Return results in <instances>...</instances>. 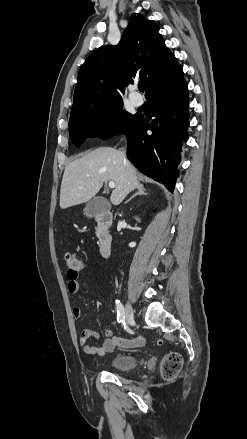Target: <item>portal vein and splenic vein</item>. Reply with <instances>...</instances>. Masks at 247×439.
<instances>
[{
  "label": "portal vein and splenic vein",
  "mask_w": 247,
  "mask_h": 439,
  "mask_svg": "<svg viewBox=\"0 0 247 439\" xmlns=\"http://www.w3.org/2000/svg\"><path fill=\"white\" fill-rule=\"evenodd\" d=\"M109 187H110V188H115V182L110 181V182H109Z\"/></svg>",
  "instance_id": "obj_1"
}]
</instances>
